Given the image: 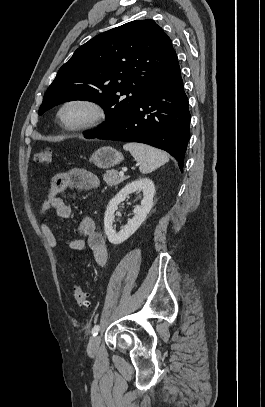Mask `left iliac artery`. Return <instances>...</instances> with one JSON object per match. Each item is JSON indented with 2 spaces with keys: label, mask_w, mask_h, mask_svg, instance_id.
<instances>
[{
  "label": "left iliac artery",
  "mask_w": 265,
  "mask_h": 407,
  "mask_svg": "<svg viewBox=\"0 0 265 407\" xmlns=\"http://www.w3.org/2000/svg\"><path fill=\"white\" fill-rule=\"evenodd\" d=\"M99 330H100V326H99V325H95V326L93 327V329H92V335H93V336H96V335L98 334Z\"/></svg>",
  "instance_id": "left-iliac-artery-1"
}]
</instances>
